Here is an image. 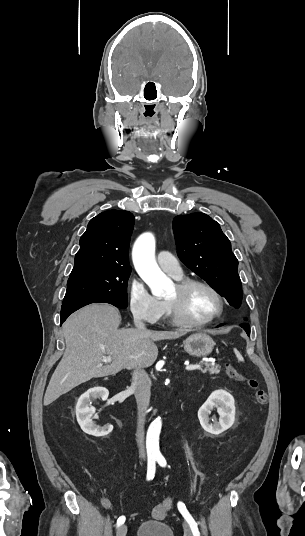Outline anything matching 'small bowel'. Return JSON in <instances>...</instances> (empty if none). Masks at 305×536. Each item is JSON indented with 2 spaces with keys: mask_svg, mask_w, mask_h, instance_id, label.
Segmentation results:
<instances>
[{
  "mask_svg": "<svg viewBox=\"0 0 305 536\" xmlns=\"http://www.w3.org/2000/svg\"><path fill=\"white\" fill-rule=\"evenodd\" d=\"M88 487L93 491V488H92L90 485H88ZM100 503H101V505H102L104 508H106V509H110V508H111V502H110V500H109L108 498L101 497V498H100Z\"/></svg>",
  "mask_w": 305,
  "mask_h": 536,
  "instance_id": "small-bowel-1",
  "label": "small bowel"
}]
</instances>
